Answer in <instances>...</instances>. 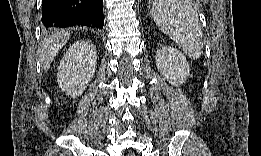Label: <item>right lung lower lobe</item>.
Returning <instances> with one entry per match:
<instances>
[{
  "mask_svg": "<svg viewBox=\"0 0 261 156\" xmlns=\"http://www.w3.org/2000/svg\"><path fill=\"white\" fill-rule=\"evenodd\" d=\"M42 23L45 28L75 25L103 28V0H43Z\"/></svg>",
  "mask_w": 261,
  "mask_h": 156,
  "instance_id": "obj_1",
  "label": "right lung lower lobe"
}]
</instances>
